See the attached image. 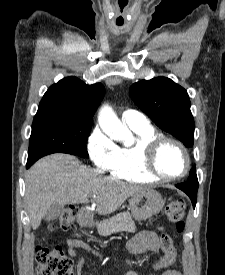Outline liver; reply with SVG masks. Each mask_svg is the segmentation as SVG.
<instances>
[{
	"mask_svg": "<svg viewBox=\"0 0 225 275\" xmlns=\"http://www.w3.org/2000/svg\"><path fill=\"white\" fill-rule=\"evenodd\" d=\"M25 199L33 230L53 203L91 202L101 215L115 212L130 196L148 190L114 177L101 176L75 156L52 154L38 160L26 177Z\"/></svg>",
	"mask_w": 225,
	"mask_h": 275,
	"instance_id": "6515ba94",
	"label": "liver"
}]
</instances>
